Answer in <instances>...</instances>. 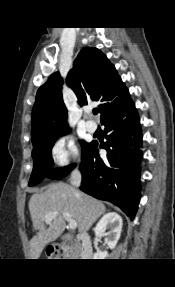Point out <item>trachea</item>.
I'll list each match as a JSON object with an SVG mask.
<instances>
[{"instance_id":"3493384b","label":"trachea","mask_w":175,"mask_h":287,"mask_svg":"<svg viewBox=\"0 0 175 287\" xmlns=\"http://www.w3.org/2000/svg\"><path fill=\"white\" fill-rule=\"evenodd\" d=\"M97 113H98V110H97V109H94V110H93V114L96 115Z\"/></svg>"}]
</instances>
